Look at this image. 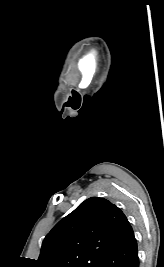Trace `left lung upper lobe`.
I'll return each instance as SVG.
<instances>
[{
	"instance_id": "1",
	"label": "left lung upper lobe",
	"mask_w": 164,
	"mask_h": 267,
	"mask_svg": "<svg viewBox=\"0 0 164 267\" xmlns=\"http://www.w3.org/2000/svg\"><path fill=\"white\" fill-rule=\"evenodd\" d=\"M128 220L110 201L91 197L45 237L36 267H99Z\"/></svg>"
}]
</instances>
